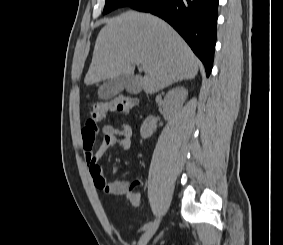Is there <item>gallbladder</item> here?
<instances>
[{
    "instance_id": "bac80fb5",
    "label": "gallbladder",
    "mask_w": 283,
    "mask_h": 245,
    "mask_svg": "<svg viewBox=\"0 0 283 245\" xmlns=\"http://www.w3.org/2000/svg\"><path fill=\"white\" fill-rule=\"evenodd\" d=\"M123 90L129 93H139L142 90L138 77L130 74H122L104 82L98 89L100 99L108 100Z\"/></svg>"
}]
</instances>
